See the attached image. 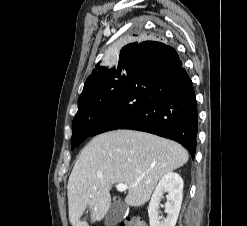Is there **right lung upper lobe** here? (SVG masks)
<instances>
[{
  "mask_svg": "<svg viewBox=\"0 0 247 226\" xmlns=\"http://www.w3.org/2000/svg\"><path fill=\"white\" fill-rule=\"evenodd\" d=\"M150 36L152 37V35H150ZM137 45H138V42L131 43V44H128V45L124 46L122 48V50H121V53L123 55H127L129 57H132V55L134 53V50H135V48H136ZM101 70H102V67L99 66V64H97L96 65V69L93 70V74H91L87 78L82 93H84L85 91H87L90 87H92L95 84V82L97 81V79L99 77V73L101 72Z\"/></svg>",
  "mask_w": 247,
  "mask_h": 226,
  "instance_id": "obj_1",
  "label": "right lung upper lobe"
}]
</instances>
